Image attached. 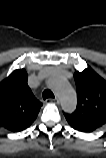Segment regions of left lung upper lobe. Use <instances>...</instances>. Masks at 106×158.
Returning a JSON list of instances; mask_svg holds the SVG:
<instances>
[{
  "mask_svg": "<svg viewBox=\"0 0 106 158\" xmlns=\"http://www.w3.org/2000/svg\"><path fill=\"white\" fill-rule=\"evenodd\" d=\"M77 107L65 114L69 125L81 132H92L106 124V81L91 68L75 72Z\"/></svg>",
  "mask_w": 106,
  "mask_h": 158,
  "instance_id": "left-lung-upper-lobe-1",
  "label": "left lung upper lobe"
}]
</instances>
